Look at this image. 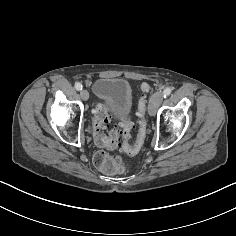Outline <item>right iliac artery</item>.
I'll list each match as a JSON object with an SVG mask.
<instances>
[{
	"label": "right iliac artery",
	"instance_id": "right-iliac-artery-1",
	"mask_svg": "<svg viewBox=\"0 0 236 236\" xmlns=\"http://www.w3.org/2000/svg\"><path fill=\"white\" fill-rule=\"evenodd\" d=\"M82 88H83V86L80 83L75 84V89L76 90L80 91V90H82Z\"/></svg>",
	"mask_w": 236,
	"mask_h": 236
}]
</instances>
